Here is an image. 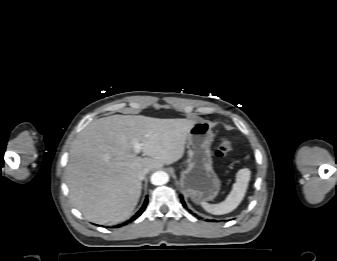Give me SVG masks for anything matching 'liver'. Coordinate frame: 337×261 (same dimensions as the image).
Masks as SVG:
<instances>
[{
  "label": "liver",
  "mask_w": 337,
  "mask_h": 261,
  "mask_svg": "<svg viewBox=\"0 0 337 261\" xmlns=\"http://www.w3.org/2000/svg\"><path fill=\"white\" fill-rule=\"evenodd\" d=\"M196 120L112 115L93 120L71 145L65 179L72 204L96 224L125 221L142 189L138 173L182 158ZM142 144L140 157L133 142Z\"/></svg>",
  "instance_id": "1"
}]
</instances>
